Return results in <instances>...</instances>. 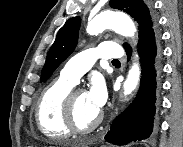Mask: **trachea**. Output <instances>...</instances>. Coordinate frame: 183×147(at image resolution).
Wrapping results in <instances>:
<instances>
[{"label":"trachea","instance_id":"3493384b","mask_svg":"<svg viewBox=\"0 0 183 147\" xmlns=\"http://www.w3.org/2000/svg\"><path fill=\"white\" fill-rule=\"evenodd\" d=\"M112 62H119V60H117V59H113V60H112Z\"/></svg>","mask_w":183,"mask_h":147}]
</instances>
